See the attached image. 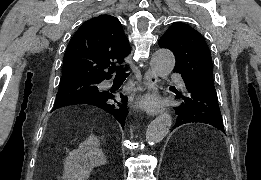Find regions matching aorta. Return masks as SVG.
<instances>
[{
	"label": "aorta",
	"instance_id": "1",
	"mask_svg": "<svg viewBox=\"0 0 261 180\" xmlns=\"http://www.w3.org/2000/svg\"><path fill=\"white\" fill-rule=\"evenodd\" d=\"M175 57L168 49H159L151 58V67L155 75L165 78L174 69ZM172 125V117L168 113L156 117L148 126L146 141L154 145L163 140Z\"/></svg>",
	"mask_w": 261,
	"mask_h": 180
}]
</instances>
